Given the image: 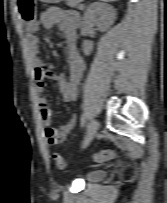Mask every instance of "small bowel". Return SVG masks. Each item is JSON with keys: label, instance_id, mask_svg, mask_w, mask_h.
Returning a JSON list of instances; mask_svg holds the SVG:
<instances>
[{"label": "small bowel", "instance_id": "c3829d8e", "mask_svg": "<svg viewBox=\"0 0 167 203\" xmlns=\"http://www.w3.org/2000/svg\"><path fill=\"white\" fill-rule=\"evenodd\" d=\"M40 22L46 29L58 25L64 33L67 40L68 74H54L40 57L41 45L39 38L36 36L29 37L27 47L34 67L36 89L43 92L45 80L54 79L58 82L64 102L74 103L78 97V87L85 69L84 61L77 49V30L80 24V16L72 10L52 7L41 15ZM38 103L45 139L49 144H58L65 140L76 124L75 117L72 116L65 124L53 128L51 126L52 111L47 99L41 96Z\"/></svg>", "mask_w": 167, "mask_h": 203}]
</instances>
